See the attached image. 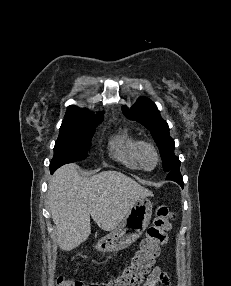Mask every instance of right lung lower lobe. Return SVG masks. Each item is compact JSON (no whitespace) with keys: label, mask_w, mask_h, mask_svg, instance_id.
Returning <instances> with one entry per match:
<instances>
[{"label":"right lung lower lobe","mask_w":231,"mask_h":286,"mask_svg":"<svg viewBox=\"0 0 231 286\" xmlns=\"http://www.w3.org/2000/svg\"><path fill=\"white\" fill-rule=\"evenodd\" d=\"M56 169L54 167H50V172L53 173Z\"/></svg>","instance_id":"right-lung-lower-lobe-1"}]
</instances>
